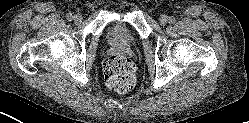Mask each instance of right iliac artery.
Here are the masks:
<instances>
[{"instance_id":"right-iliac-artery-1","label":"right iliac artery","mask_w":249,"mask_h":123,"mask_svg":"<svg viewBox=\"0 0 249 123\" xmlns=\"http://www.w3.org/2000/svg\"><path fill=\"white\" fill-rule=\"evenodd\" d=\"M74 15L72 14V13H69V14H67V19L69 20V21H72L73 19H74Z\"/></svg>"}]
</instances>
